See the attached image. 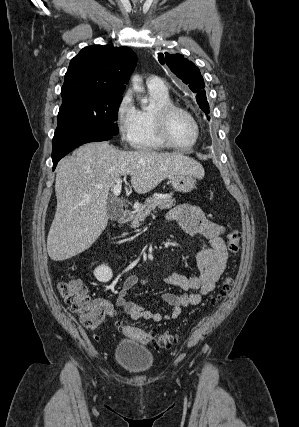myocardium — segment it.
<instances>
[{
	"mask_svg": "<svg viewBox=\"0 0 299 427\" xmlns=\"http://www.w3.org/2000/svg\"><path fill=\"white\" fill-rule=\"evenodd\" d=\"M175 111H179V112L186 114L187 116H189L192 119V121L194 123L195 137H194V140L189 144H186V145L177 144V143L173 142L169 136L168 118ZM153 118H154V125H155V129H156V133H157L159 139L161 140V142L165 146H167L169 148L188 149V148L195 146L196 143L198 142L199 138H200L201 129H200V124H199L197 118L195 117V115L191 111H189L188 109H186L180 105H177L174 103H168V104L159 106L154 110Z\"/></svg>",
	"mask_w": 299,
	"mask_h": 427,
	"instance_id": "f54148a6",
	"label": "myocardium"
}]
</instances>
